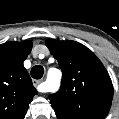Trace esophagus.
<instances>
[{"label": "esophagus", "mask_w": 119, "mask_h": 119, "mask_svg": "<svg viewBox=\"0 0 119 119\" xmlns=\"http://www.w3.org/2000/svg\"><path fill=\"white\" fill-rule=\"evenodd\" d=\"M41 82L42 80H33V85L37 87Z\"/></svg>", "instance_id": "obj_1"}]
</instances>
